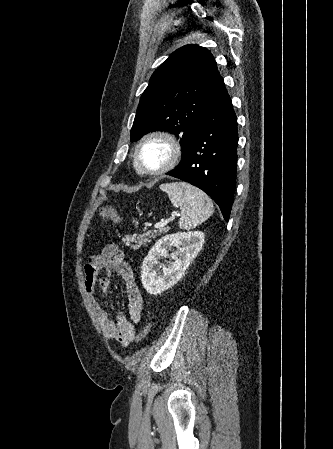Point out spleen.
Listing matches in <instances>:
<instances>
[{
	"label": "spleen",
	"mask_w": 333,
	"mask_h": 449,
	"mask_svg": "<svg viewBox=\"0 0 333 449\" xmlns=\"http://www.w3.org/2000/svg\"><path fill=\"white\" fill-rule=\"evenodd\" d=\"M171 203L180 207V228L189 230L212 216L214 207L211 199L201 189L185 182L166 183L160 186Z\"/></svg>",
	"instance_id": "1"
}]
</instances>
